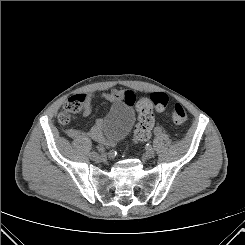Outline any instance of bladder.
Wrapping results in <instances>:
<instances>
[{
	"mask_svg": "<svg viewBox=\"0 0 245 245\" xmlns=\"http://www.w3.org/2000/svg\"><path fill=\"white\" fill-rule=\"evenodd\" d=\"M133 122V110L126 104H115L102 122L105 138L111 143L119 142L128 134Z\"/></svg>",
	"mask_w": 245,
	"mask_h": 245,
	"instance_id": "obj_1",
	"label": "bladder"
}]
</instances>
